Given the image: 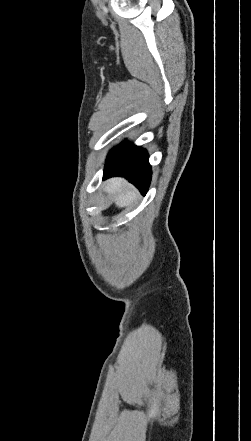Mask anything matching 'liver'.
<instances>
[{"instance_id": "6515ba94", "label": "liver", "mask_w": 251, "mask_h": 441, "mask_svg": "<svg viewBox=\"0 0 251 441\" xmlns=\"http://www.w3.org/2000/svg\"><path fill=\"white\" fill-rule=\"evenodd\" d=\"M105 190L113 195L117 207L122 208L131 204L137 195L134 188L128 186L127 182L122 178H113L107 181Z\"/></svg>"}]
</instances>
